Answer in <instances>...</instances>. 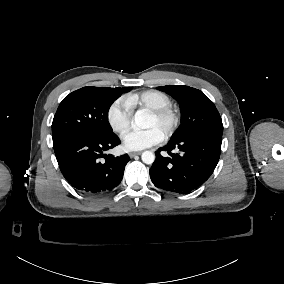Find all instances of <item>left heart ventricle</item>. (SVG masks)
I'll use <instances>...</instances> for the list:
<instances>
[{"label": "left heart ventricle", "instance_id": "obj_1", "mask_svg": "<svg viewBox=\"0 0 284 284\" xmlns=\"http://www.w3.org/2000/svg\"><path fill=\"white\" fill-rule=\"evenodd\" d=\"M148 127L157 129L161 134L164 133L166 124L164 121L156 119L153 115L148 120Z\"/></svg>", "mask_w": 284, "mask_h": 284}]
</instances>
